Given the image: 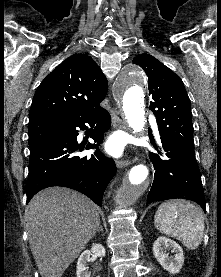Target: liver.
<instances>
[{
  "instance_id": "1",
  "label": "liver",
  "mask_w": 221,
  "mask_h": 277,
  "mask_svg": "<svg viewBox=\"0 0 221 277\" xmlns=\"http://www.w3.org/2000/svg\"><path fill=\"white\" fill-rule=\"evenodd\" d=\"M30 248L41 277H61L100 226L98 207L60 187L37 193L25 210Z\"/></svg>"
}]
</instances>
